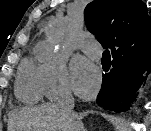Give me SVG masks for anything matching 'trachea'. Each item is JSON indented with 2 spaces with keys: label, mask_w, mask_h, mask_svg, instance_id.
Returning <instances> with one entry per match:
<instances>
[{
  "label": "trachea",
  "mask_w": 151,
  "mask_h": 131,
  "mask_svg": "<svg viewBox=\"0 0 151 131\" xmlns=\"http://www.w3.org/2000/svg\"><path fill=\"white\" fill-rule=\"evenodd\" d=\"M102 60L105 61V62H110L111 61V56H110V51L109 50L106 49L103 52Z\"/></svg>",
  "instance_id": "3493384b"
}]
</instances>
